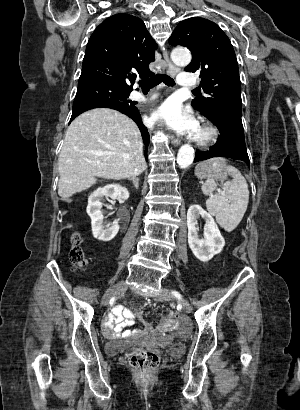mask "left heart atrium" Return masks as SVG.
Returning a JSON list of instances; mask_svg holds the SVG:
<instances>
[{
	"label": "left heart atrium",
	"instance_id": "left-heart-atrium-1",
	"mask_svg": "<svg viewBox=\"0 0 300 410\" xmlns=\"http://www.w3.org/2000/svg\"><path fill=\"white\" fill-rule=\"evenodd\" d=\"M150 121L153 124L165 125L177 134L188 137L196 136L198 131V125L194 117L175 100H167L160 105L152 113Z\"/></svg>",
	"mask_w": 300,
	"mask_h": 410
}]
</instances>
